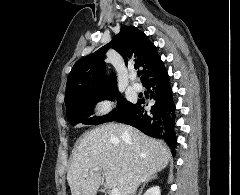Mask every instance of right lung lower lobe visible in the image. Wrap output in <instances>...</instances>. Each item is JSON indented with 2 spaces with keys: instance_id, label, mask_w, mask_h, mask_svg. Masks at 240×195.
Listing matches in <instances>:
<instances>
[{
  "instance_id": "obj_1",
  "label": "right lung lower lobe",
  "mask_w": 240,
  "mask_h": 195,
  "mask_svg": "<svg viewBox=\"0 0 240 195\" xmlns=\"http://www.w3.org/2000/svg\"><path fill=\"white\" fill-rule=\"evenodd\" d=\"M144 87L150 93L149 109L145 110V107L148 106L147 101L139 100L135 107L113 121L129 124L146 135L163 139L174 154L177 144L173 131L176 115L172 89L166 69L150 80Z\"/></svg>"
}]
</instances>
